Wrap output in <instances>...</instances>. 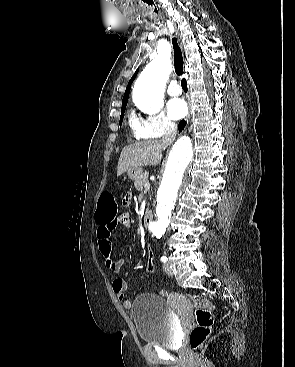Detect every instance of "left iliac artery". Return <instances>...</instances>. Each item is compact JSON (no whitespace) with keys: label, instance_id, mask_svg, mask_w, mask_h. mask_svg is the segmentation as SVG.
<instances>
[{"label":"left iliac artery","instance_id":"44dca946","mask_svg":"<svg viewBox=\"0 0 295 367\" xmlns=\"http://www.w3.org/2000/svg\"><path fill=\"white\" fill-rule=\"evenodd\" d=\"M161 261L165 263V262H167V261H168V258H167L166 256H162V257H161Z\"/></svg>","mask_w":295,"mask_h":367}]
</instances>
